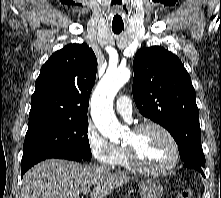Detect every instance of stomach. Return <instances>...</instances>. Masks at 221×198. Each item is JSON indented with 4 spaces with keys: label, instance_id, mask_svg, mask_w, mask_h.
I'll return each mask as SVG.
<instances>
[{
    "label": "stomach",
    "instance_id": "obj_1",
    "mask_svg": "<svg viewBox=\"0 0 221 198\" xmlns=\"http://www.w3.org/2000/svg\"><path fill=\"white\" fill-rule=\"evenodd\" d=\"M140 198H161L163 186L155 180H145L138 184Z\"/></svg>",
    "mask_w": 221,
    "mask_h": 198
}]
</instances>
